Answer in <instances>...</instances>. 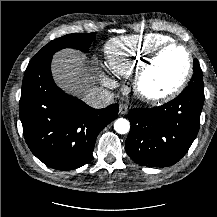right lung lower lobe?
<instances>
[{
	"mask_svg": "<svg viewBox=\"0 0 217 217\" xmlns=\"http://www.w3.org/2000/svg\"><path fill=\"white\" fill-rule=\"evenodd\" d=\"M52 57L27 67L20 119L31 152L48 167L72 170L86 164L100 131L118 116V104L94 109L53 81Z\"/></svg>",
	"mask_w": 217,
	"mask_h": 217,
	"instance_id": "1",
	"label": "right lung lower lobe"
}]
</instances>
